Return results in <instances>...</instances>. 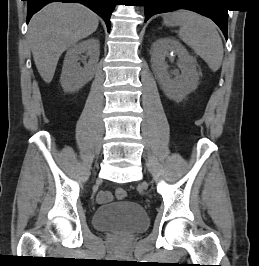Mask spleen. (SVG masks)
<instances>
[{
	"label": "spleen",
	"instance_id": "obj_1",
	"mask_svg": "<svg viewBox=\"0 0 259 266\" xmlns=\"http://www.w3.org/2000/svg\"><path fill=\"white\" fill-rule=\"evenodd\" d=\"M180 21L179 37L216 72L223 60V44L214 22L188 10L175 12Z\"/></svg>",
	"mask_w": 259,
	"mask_h": 266
}]
</instances>
